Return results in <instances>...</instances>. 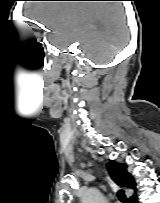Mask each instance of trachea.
I'll return each mask as SVG.
<instances>
[{
	"label": "trachea",
	"instance_id": "1",
	"mask_svg": "<svg viewBox=\"0 0 160 203\" xmlns=\"http://www.w3.org/2000/svg\"><path fill=\"white\" fill-rule=\"evenodd\" d=\"M117 196H118V198L120 199V201H121L122 203H129V200H128V198L126 197V195H125V193H124L123 190H119V191L117 192Z\"/></svg>",
	"mask_w": 160,
	"mask_h": 203
}]
</instances>
